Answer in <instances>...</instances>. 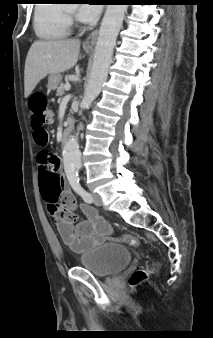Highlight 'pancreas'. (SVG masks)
Listing matches in <instances>:
<instances>
[{
    "instance_id": "pancreas-1",
    "label": "pancreas",
    "mask_w": 213,
    "mask_h": 338,
    "mask_svg": "<svg viewBox=\"0 0 213 338\" xmlns=\"http://www.w3.org/2000/svg\"><path fill=\"white\" fill-rule=\"evenodd\" d=\"M65 93V85L63 83H60V86L57 88L56 96L61 97Z\"/></svg>"
}]
</instances>
